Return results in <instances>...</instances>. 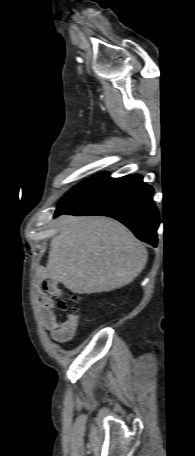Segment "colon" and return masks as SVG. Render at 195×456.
<instances>
[{
	"label": "colon",
	"mask_w": 195,
	"mask_h": 456,
	"mask_svg": "<svg viewBox=\"0 0 195 456\" xmlns=\"http://www.w3.org/2000/svg\"><path fill=\"white\" fill-rule=\"evenodd\" d=\"M71 301L73 302V306H74V308H75V306H76L75 303H76V301H77V298L74 296V297L71 298ZM67 305H68V304H67L66 301H61V302L59 303V307H60L62 310H66V309H67Z\"/></svg>",
	"instance_id": "obj_1"
}]
</instances>
